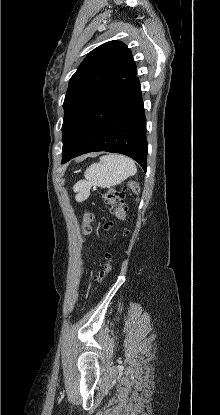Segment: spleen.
I'll list each match as a JSON object with an SVG mask.
<instances>
[{
  "label": "spleen",
  "instance_id": "3e777b00",
  "mask_svg": "<svg viewBox=\"0 0 220 415\" xmlns=\"http://www.w3.org/2000/svg\"><path fill=\"white\" fill-rule=\"evenodd\" d=\"M137 168L129 157L109 154L101 156L98 163H94L85 171V179L78 181L73 190L77 193L76 200L82 202L90 195L92 186L101 188L119 184L136 174Z\"/></svg>",
  "mask_w": 220,
  "mask_h": 415
}]
</instances>
